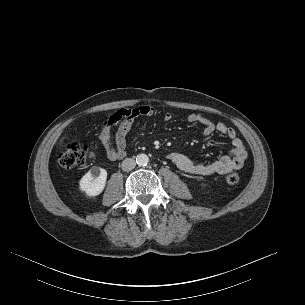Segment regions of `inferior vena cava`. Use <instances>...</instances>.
Returning <instances> with one entry per match:
<instances>
[{
  "label": "inferior vena cava",
  "instance_id": "1",
  "mask_svg": "<svg viewBox=\"0 0 305 305\" xmlns=\"http://www.w3.org/2000/svg\"><path fill=\"white\" fill-rule=\"evenodd\" d=\"M136 166V162L132 158H126L122 161V170L123 171H130L134 169Z\"/></svg>",
  "mask_w": 305,
  "mask_h": 305
}]
</instances>
